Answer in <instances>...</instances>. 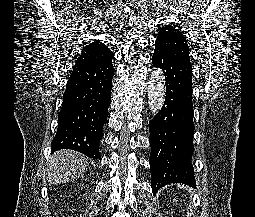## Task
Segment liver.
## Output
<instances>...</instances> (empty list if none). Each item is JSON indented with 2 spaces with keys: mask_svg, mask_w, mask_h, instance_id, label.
I'll list each match as a JSON object with an SVG mask.
<instances>
[{
  "mask_svg": "<svg viewBox=\"0 0 255 217\" xmlns=\"http://www.w3.org/2000/svg\"><path fill=\"white\" fill-rule=\"evenodd\" d=\"M87 158L73 150L55 152L49 161L47 179L50 184L64 183L79 178L86 172Z\"/></svg>",
  "mask_w": 255,
  "mask_h": 217,
  "instance_id": "6515ba94",
  "label": "liver"
}]
</instances>
